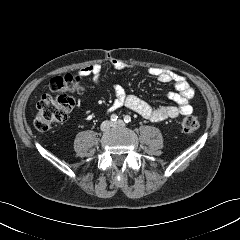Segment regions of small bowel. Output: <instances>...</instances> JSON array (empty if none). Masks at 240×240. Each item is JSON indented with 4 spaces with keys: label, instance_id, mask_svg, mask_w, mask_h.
<instances>
[{
    "label": "small bowel",
    "instance_id": "c3829d8e",
    "mask_svg": "<svg viewBox=\"0 0 240 240\" xmlns=\"http://www.w3.org/2000/svg\"><path fill=\"white\" fill-rule=\"evenodd\" d=\"M110 65L119 70L127 68L123 62L115 59L110 60ZM79 73L82 76H91L95 83H99L102 78V67L99 63L88 64ZM149 74L161 83L174 84L176 91L171 92L168 97L175 105L153 107L138 96L127 93L122 86L115 85L113 86L115 98L109 107V111L127 107L152 122H161L192 112L190 100L194 95V90L185 77L160 68H150Z\"/></svg>",
    "mask_w": 240,
    "mask_h": 240
}]
</instances>
